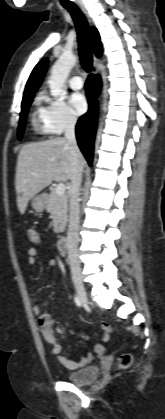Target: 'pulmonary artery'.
<instances>
[{"label":"pulmonary artery","mask_w":165,"mask_h":419,"mask_svg":"<svg viewBox=\"0 0 165 419\" xmlns=\"http://www.w3.org/2000/svg\"><path fill=\"white\" fill-rule=\"evenodd\" d=\"M69 85L74 90L81 89L83 86L82 78L77 75L72 76L69 80Z\"/></svg>","instance_id":"obj_1"}]
</instances>
